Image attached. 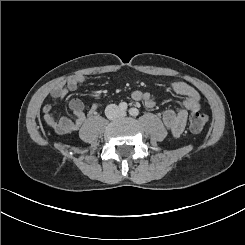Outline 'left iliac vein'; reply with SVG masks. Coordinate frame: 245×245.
<instances>
[{"label": "left iliac vein", "instance_id": "1", "mask_svg": "<svg viewBox=\"0 0 245 245\" xmlns=\"http://www.w3.org/2000/svg\"><path fill=\"white\" fill-rule=\"evenodd\" d=\"M122 115H125V112H122Z\"/></svg>", "mask_w": 245, "mask_h": 245}]
</instances>
